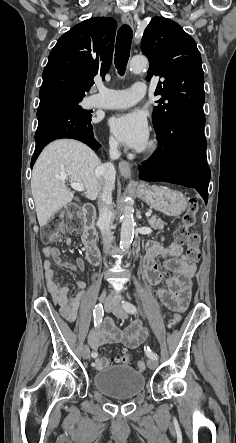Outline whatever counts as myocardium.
<instances>
[{"label": "myocardium", "instance_id": "myocardium-1", "mask_svg": "<svg viewBox=\"0 0 236 443\" xmlns=\"http://www.w3.org/2000/svg\"><path fill=\"white\" fill-rule=\"evenodd\" d=\"M157 149V143L155 141H151L147 147L148 153H153Z\"/></svg>", "mask_w": 236, "mask_h": 443}]
</instances>
